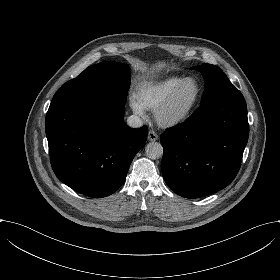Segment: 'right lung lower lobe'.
<instances>
[{
	"mask_svg": "<svg viewBox=\"0 0 280 280\" xmlns=\"http://www.w3.org/2000/svg\"><path fill=\"white\" fill-rule=\"evenodd\" d=\"M51 166L60 181L93 198L113 194L125 181L147 127H128L124 105L78 90L59 89L45 125Z\"/></svg>",
	"mask_w": 280,
	"mask_h": 280,
	"instance_id": "obj_1",
	"label": "right lung lower lobe"
}]
</instances>
